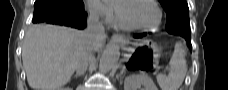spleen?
<instances>
[{"instance_id": "spleen-1", "label": "spleen", "mask_w": 228, "mask_h": 90, "mask_svg": "<svg viewBox=\"0 0 228 90\" xmlns=\"http://www.w3.org/2000/svg\"><path fill=\"white\" fill-rule=\"evenodd\" d=\"M169 64L171 68L169 74L167 76L158 74L156 76L157 82L161 90H178L187 72L184 50L180 44H176Z\"/></svg>"}]
</instances>
